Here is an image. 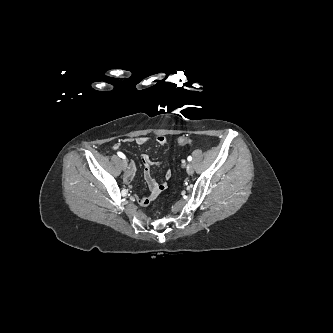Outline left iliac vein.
Returning a JSON list of instances; mask_svg holds the SVG:
<instances>
[{
  "label": "left iliac vein",
  "instance_id": "obj_1",
  "mask_svg": "<svg viewBox=\"0 0 333 333\" xmlns=\"http://www.w3.org/2000/svg\"><path fill=\"white\" fill-rule=\"evenodd\" d=\"M186 170H187V173H188L189 175H192L193 172H194L193 167H192L191 164H188V165L186 166Z\"/></svg>",
  "mask_w": 333,
  "mask_h": 333
}]
</instances>
